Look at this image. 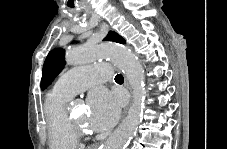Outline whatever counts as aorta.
Masks as SVG:
<instances>
[{"mask_svg":"<svg viewBox=\"0 0 227 149\" xmlns=\"http://www.w3.org/2000/svg\"><path fill=\"white\" fill-rule=\"evenodd\" d=\"M109 58L125 74L133 89V103L128 115L109 136L103 149H125L141 122L145 99L144 70L135 55L115 44L73 47L66 51L68 65H79Z\"/></svg>","mask_w":227,"mask_h":149,"instance_id":"1","label":"aorta"}]
</instances>
